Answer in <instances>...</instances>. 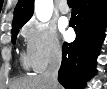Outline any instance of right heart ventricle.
<instances>
[{"label": "right heart ventricle", "mask_w": 107, "mask_h": 89, "mask_svg": "<svg viewBox=\"0 0 107 89\" xmlns=\"http://www.w3.org/2000/svg\"><path fill=\"white\" fill-rule=\"evenodd\" d=\"M23 63H24V65H28V64H29V62H28V58L23 57Z\"/></svg>", "instance_id": "right-heart-ventricle-1"}]
</instances>
